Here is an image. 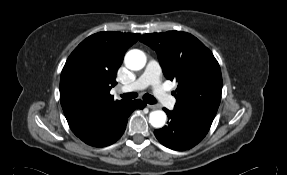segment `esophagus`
Listing matches in <instances>:
<instances>
[{"label": "esophagus", "mask_w": 287, "mask_h": 175, "mask_svg": "<svg viewBox=\"0 0 287 175\" xmlns=\"http://www.w3.org/2000/svg\"><path fill=\"white\" fill-rule=\"evenodd\" d=\"M147 107L150 109H158L159 105H155V104H147Z\"/></svg>", "instance_id": "1"}]
</instances>
